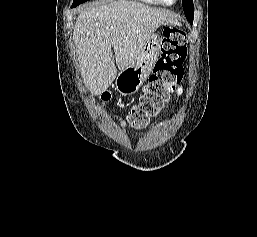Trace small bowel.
<instances>
[{"instance_id": "1", "label": "small bowel", "mask_w": 257, "mask_h": 237, "mask_svg": "<svg viewBox=\"0 0 257 237\" xmlns=\"http://www.w3.org/2000/svg\"><path fill=\"white\" fill-rule=\"evenodd\" d=\"M176 93H177L178 95H181V94H182V87H178V88L176 89Z\"/></svg>"}]
</instances>
